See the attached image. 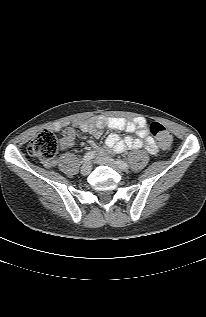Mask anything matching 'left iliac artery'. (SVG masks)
I'll list each match as a JSON object with an SVG mask.
<instances>
[{"label":"left iliac artery","instance_id":"left-iliac-artery-1","mask_svg":"<svg viewBox=\"0 0 206 317\" xmlns=\"http://www.w3.org/2000/svg\"><path fill=\"white\" fill-rule=\"evenodd\" d=\"M117 164L121 169H127L128 168V164L122 160H117Z\"/></svg>","mask_w":206,"mask_h":317}]
</instances>
